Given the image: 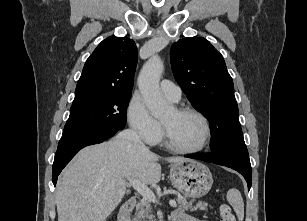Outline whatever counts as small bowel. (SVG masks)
Wrapping results in <instances>:
<instances>
[{"instance_id":"1","label":"small bowel","mask_w":307,"mask_h":221,"mask_svg":"<svg viewBox=\"0 0 307 221\" xmlns=\"http://www.w3.org/2000/svg\"><path fill=\"white\" fill-rule=\"evenodd\" d=\"M172 221H207V220L198 219L196 217L186 214L183 211L178 210L173 213Z\"/></svg>"}]
</instances>
